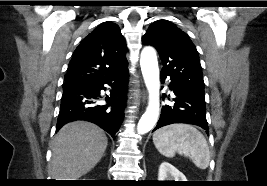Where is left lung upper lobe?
Masks as SVG:
<instances>
[{"label":"left lung upper lobe","mask_w":267,"mask_h":186,"mask_svg":"<svg viewBox=\"0 0 267 186\" xmlns=\"http://www.w3.org/2000/svg\"><path fill=\"white\" fill-rule=\"evenodd\" d=\"M143 43L158 51L163 65L161 74L204 93L198 52L181 29L168 20L155 21L146 31Z\"/></svg>","instance_id":"obj_1"}]
</instances>
